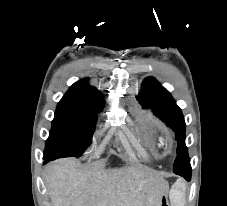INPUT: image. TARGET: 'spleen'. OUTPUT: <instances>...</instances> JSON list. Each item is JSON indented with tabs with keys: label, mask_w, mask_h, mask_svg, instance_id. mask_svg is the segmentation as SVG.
<instances>
[{
	"label": "spleen",
	"mask_w": 227,
	"mask_h": 206,
	"mask_svg": "<svg viewBox=\"0 0 227 206\" xmlns=\"http://www.w3.org/2000/svg\"><path fill=\"white\" fill-rule=\"evenodd\" d=\"M170 198H171L172 203L175 206H184V202H185L184 193L182 192V190L178 186H175L171 190Z\"/></svg>",
	"instance_id": "1"
}]
</instances>
